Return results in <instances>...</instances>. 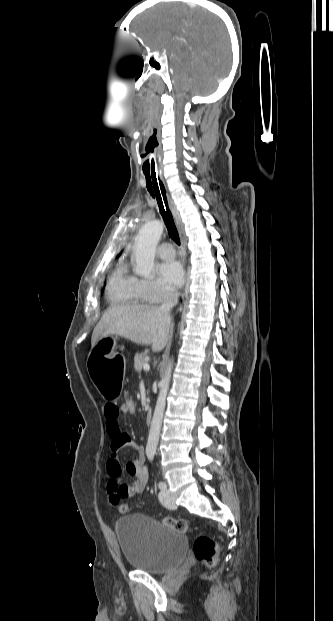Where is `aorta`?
I'll list each match as a JSON object with an SVG mask.
<instances>
[{
	"label": "aorta",
	"instance_id": "aorta-1",
	"mask_svg": "<svg viewBox=\"0 0 333 621\" xmlns=\"http://www.w3.org/2000/svg\"><path fill=\"white\" fill-rule=\"evenodd\" d=\"M163 233V223L159 220L149 221L140 229L134 243L136 257V273L142 277L150 278L154 268V257L158 241ZM173 369V359L168 363L165 376L160 381L159 395L157 398L151 427L149 430L148 442L146 445L147 457H153L159 442L160 430L163 415L166 407V397L169 390L171 373Z\"/></svg>",
	"mask_w": 333,
	"mask_h": 621
}]
</instances>
